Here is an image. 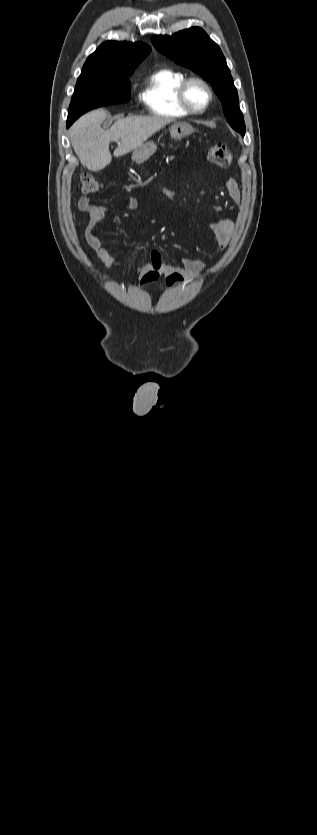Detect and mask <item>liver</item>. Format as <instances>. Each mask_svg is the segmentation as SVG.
<instances>
[{
    "label": "liver",
    "mask_w": 317,
    "mask_h": 835,
    "mask_svg": "<svg viewBox=\"0 0 317 835\" xmlns=\"http://www.w3.org/2000/svg\"><path fill=\"white\" fill-rule=\"evenodd\" d=\"M106 118L107 111L94 110L80 117L71 127L72 147L90 171H99L111 163L110 142H118L114 156H123L138 149L169 123L164 118L128 116L117 119L108 130H103L101 124Z\"/></svg>",
    "instance_id": "liver-1"
}]
</instances>
